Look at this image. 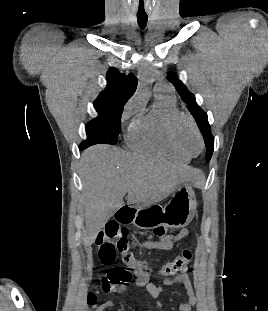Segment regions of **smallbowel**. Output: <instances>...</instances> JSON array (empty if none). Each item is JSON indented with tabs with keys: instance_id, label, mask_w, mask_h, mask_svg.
<instances>
[{
	"instance_id": "obj_1",
	"label": "small bowel",
	"mask_w": 268,
	"mask_h": 311,
	"mask_svg": "<svg viewBox=\"0 0 268 311\" xmlns=\"http://www.w3.org/2000/svg\"><path fill=\"white\" fill-rule=\"evenodd\" d=\"M188 233V230L184 228L178 232L164 234V229L162 227H156L154 229V234L157 235V237L154 238L153 236H149L146 240L140 242L138 245V254L142 255L146 250H170L176 243L187 237ZM130 268L132 269L134 276L133 283L136 286L144 287L153 298H158L161 295L162 288L149 282V275L140 267L138 260L135 259L130 264ZM177 283H180L184 286L188 296V301L186 303H181L178 307V310L192 311L197 304V296L194 286L185 271L180 272L173 278H166L163 281V284L167 286ZM110 306H112V302H106L100 305L96 311H105Z\"/></svg>"
}]
</instances>
